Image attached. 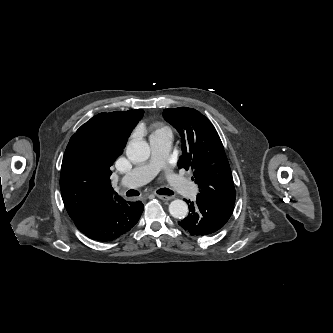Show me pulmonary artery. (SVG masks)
<instances>
[{
	"mask_svg": "<svg viewBox=\"0 0 333 333\" xmlns=\"http://www.w3.org/2000/svg\"><path fill=\"white\" fill-rule=\"evenodd\" d=\"M172 134L168 132L153 133L149 137L151 148L150 159L133 168L121 179V185L128 188H136L150 180L166 165L172 145ZM169 184L181 194H190L195 190V186L174 173L167 175Z\"/></svg>",
	"mask_w": 333,
	"mask_h": 333,
	"instance_id": "obj_1",
	"label": "pulmonary artery"
}]
</instances>
